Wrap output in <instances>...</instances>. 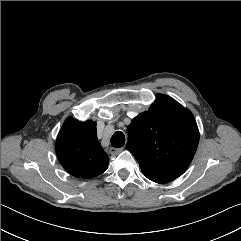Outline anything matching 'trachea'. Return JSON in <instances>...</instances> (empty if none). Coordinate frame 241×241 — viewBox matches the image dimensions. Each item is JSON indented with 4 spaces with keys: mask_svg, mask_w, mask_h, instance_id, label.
Here are the masks:
<instances>
[{
    "mask_svg": "<svg viewBox=\"0 0 241 241\" xmlns=\"http://www.w3.org/2000/svg\"><path fill=\"white\" fill-rule=\"evenodd\" d=\"M125 144V136L121 131H117L111 137V145L115 148H120Z\"/></svg>",
    "mask_w": 241,
    "mask_h": 241,
    "instance_id": "3493384b",
    "label": "trachea"
}]
</instances>
